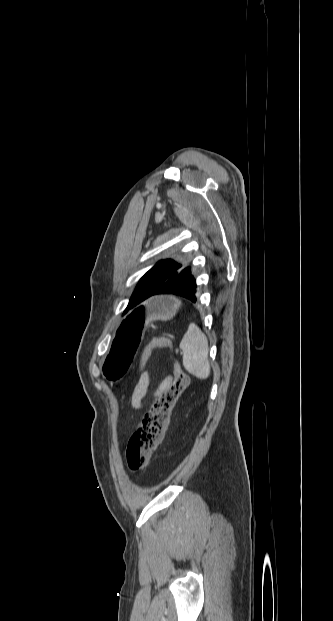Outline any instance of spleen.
I'll list each match as a JSON object with an SVG mask.
<instances>
[{
    "label": "spleen",
    "mask_w": 333,
    "mask_h": 621,
    "mask_svg": "<svg viewBox=\"0 0 333 621\" xmlns=\"http://www.w3.org/2000/svg\"><path fill=\"white\" fill-rule=\"evenodd\" d=\"M180 349L183 353V366L191 375L206 379L210 375V364L208 360V340L196 325H190L184 334Z\"/></svg>",
    "instance_id": "obj_1"
}]
</instances>
